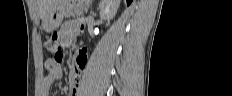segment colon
Listing matches in <instances>:
<instances>
[{"instance_id": "colon-1", "label": "colon", "mask_w": 232, "mask_h": 96, "mask_svg": "<svg viewBox=\"0 0 232 96\" xmlns=\"http://www.w3.org/2000/svg\"><path fill=\"white\" fill-rule=\"evenodd\" d=\"M47 46L50 50L55 52L54 60L48 62V67L51 72H56L60 68V64L62 61V53L60 51L61 44L56 33L50 37Z\"/></svg>"}]
</instances>
